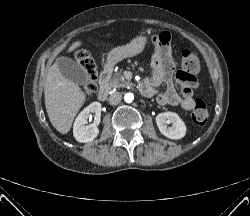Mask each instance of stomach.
Masks as SVG:
<instances>
[{
	"instance_id": "0dacf381",
	"label": "stomach",
	"mask_w": 250,
	"mask_h": 216,
	"mask_svg": "<svg viewBox=\"0 0 250 216\" xmlns=\"http://www.w3.org/2000/svg\"><path fill=\"white\" fill-rule=\"evenodd\" d=\"M147 45V37L145 35L138 36L134 38L129 44L122 45L112 49L107 54V64L109 66H114L118 62L129 58L134 57L145 49Z\"/></svg>"
}]
</instances>
